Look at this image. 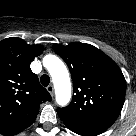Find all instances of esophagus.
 I'll list each match as a JSON object with an SVG mask.
<instances>
[{
	"label": "esophagus",
	"mask_w": 136,
	"mask_h": 136,
	"mask_svg": "<svg viewBox=\"0 0 136 136\" xmlns=\"http://www.w3.org/2000/svg\"><path fill=\"white\" fill-rule=\"evenodd\" d=\"M47 91L50 93L51 96L54 95V86L53 85H48L47 86Z\"/></svg>",
	"instance_id": "obj_1"
}]
</instances>
